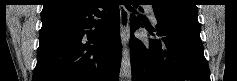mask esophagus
<instances>
[{
	"instance_id": "esophagus-1",
	"label": "esophagus",
	"mask_w": 237,
	"mask_h": 81,
	"mask_svg": "<svg viewBox=\"0 0 237 81\" xmlns=\"http://www.w3.org/2000/svg\"><path fill=\"white\" fill-rule=\"evenodd\" d=\"M120 10V35L123 45H126L130 38L129 29V12L127 8L123 5L119 7Z\"/></svg>"
}]
</instances>
